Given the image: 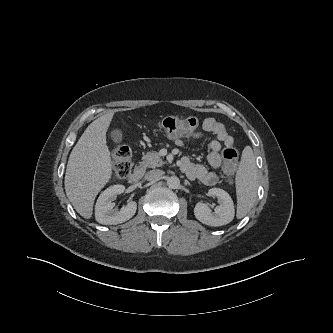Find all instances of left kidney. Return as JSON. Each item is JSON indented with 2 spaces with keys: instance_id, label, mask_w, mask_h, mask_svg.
Returning <instances> with one entry per match:
<instances>
[{
  "instance_id": "1",
  "label": "left kidney",
  "mask_w": 333,
  "mask_h": 333,
  "mask_svg": "<svg viewBox=\"0 0 333 333\" xmlns=\"http://www.w3.org/2000/svg\"><path fill=\"white\" fill-rule=\"evenodd\" d=\"M209 194L216 196L220 201V206L215 208V212H211L210 208L199 202L194 208V215L201 223L209 226H222L230 223L235 215L234 204L230 195L220 188H212Z\"/></svg>"
}]
</instances>
